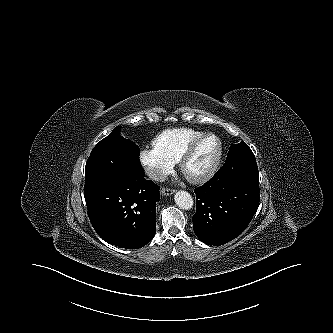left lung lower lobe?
Masks as SVG:
<instances>
[{
    "instance_id": "left-lung-lower-lobe-1",
    "label": "left lung lower lobe",
    "mask_w": 333,
    "mask_h": 333,
    "mask_svg": "<svg viewBox=\"0 0 333 333\" xmlns=\"http://www.w3.org/2000/svg\"><path fill=\"white\" fill-rule=\"evenodd\" d=\"M194 192V232L208 245H222L238 237L259 206V184L235 178L224 165Z\"/></svg>"
}]
</instances>
